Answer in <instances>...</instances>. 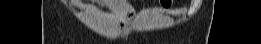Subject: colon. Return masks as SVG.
I'll list each match as a JSON object with an SVG mask.
<instances>
[{"mask_svg":"<svg viewBox=\"0 0 261 44\" xmlns=\"http://www.w3.org/2000/svg\"><path fill=\"white\" fill-rule=\"evenodd\" d=\"M161 5H162V6H169V5H170V2H169V1H162V2H161Z\"/></svg>","mask_w":261,"mask_h":44,"instance_id":"1","label":"colon"}]
</instances>
